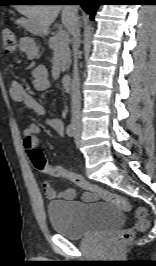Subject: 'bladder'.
<instances>
[{
  "label": "bladder",
  "instance_id": "bladder-1",
  "mask_svg": "<svg viewBox=\"0 0 156 266\" xmlns=\"http://www.w3.org/2000/svg\"><path fill=\"white\" fill-rule=\"evenodd\" d=\"M47 216L55 232L72 240L82 239L120 225L123 215L113 204L85 205L77 201H56L47 206Z\"/></svg>",
  "mask_w": 156,
  "mask_h": 266
}]
</instances>
